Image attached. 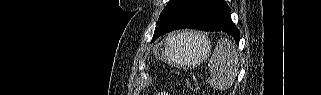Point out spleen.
<instances>
[{"mask_svg":"<svg viewBox=\"0 0 321 95\" xmlns=\"http://www.w3.org/2000/svg\"><path fill=\"white\" fill-rule=\"evenodd\" d=\"M210 78L208 83L218 90H225L233 85L237 74L238 54L234 43L228 38L218 41L208 64Z\"/></svg>","mask_w":321,"mask_h":95,"instance_id":"obj_1","label":"spleen"}]
</instances>
